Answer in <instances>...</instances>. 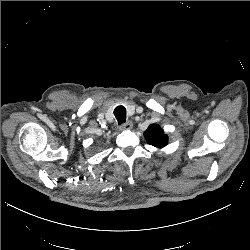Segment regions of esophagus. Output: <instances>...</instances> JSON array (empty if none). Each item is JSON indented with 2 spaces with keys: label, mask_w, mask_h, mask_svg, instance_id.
<instances>
[{
  "label": "esophagus",
  "mask_w": 250,
  "mask_h": 250,
  "mask_svg": "<svg viewBox=\"0 0 250 250\" xmlns=\"http://www.w3.org/2000/svg\"><path fill=\"white\" fill-rule=\"evenodd\" d=\"M132 127H133V123L131 121H127L126 123L120 125L119 129L121 131H123V130H130V129H132Z\"/></svg>",
  "instance_id": "obj_1"
}]
</instances>
